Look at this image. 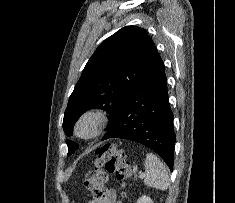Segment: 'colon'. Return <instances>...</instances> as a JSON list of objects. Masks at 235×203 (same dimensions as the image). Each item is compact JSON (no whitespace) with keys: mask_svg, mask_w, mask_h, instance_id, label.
Masks as SVG:
<instances>
[{"mask_svg":"<svg viewBox=\"0 0 235 203\" xmlns=\"http://www.w3.org/2000/svg\"><path fill=\"white\" fill-rule=\"evenodd\" d=\"M131 173L125 152L113 144H104L96 150L95 166L85 175L83 185L93 198L100 199L106 194L109 174H115L124 184Z\"/></svg>","mask_w":235,"mask_h":203,"instance_id":"1","label":"colon"}]
</instances>
